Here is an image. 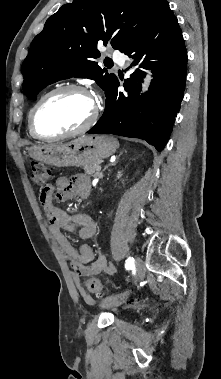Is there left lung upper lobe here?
Listing matches in <instances>:
<instances>
[{"mask_svg": "<svg viewBox=\"0 0 221 379\" xmlns=\"http://www.w3.org/2000/svg\"><path fill=\"white\" fill-rule=\"evenodd\" d=\"M166 0H73L45 23L23 62V90L36 100L47 85L90 78L105 92L117 79L98 66V42L124 52L153 23Z\"/></svg>", "mask_w": 221, "mask_h": 379, "instance_id": "left-lung-upper-lobe-1", "label": "left lung upper lobe"}]
</instances>
